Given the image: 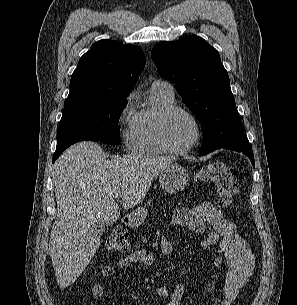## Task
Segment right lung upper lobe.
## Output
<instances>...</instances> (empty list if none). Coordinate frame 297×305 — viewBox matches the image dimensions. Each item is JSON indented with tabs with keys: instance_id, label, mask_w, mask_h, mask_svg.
I'll return each instance as SVG.
<instances>
[{
	"instance_id": "obj_1",
	"label": "right lung upper lobe",
	"mask_w": 297,
	"mask_h": 305,
	"mask_svg": "<svg viewBox=\"0 0 297 305\" xmlns=\"http://www.w3.org/2000/svg\"><path fill=\"white\" fill-rule=\"evenodd\" d=\"M145 66V55L133 45L100 40L79 60L71 76L66 103L83 99L126 97Z\"/></svg>"
}]
</instances>
